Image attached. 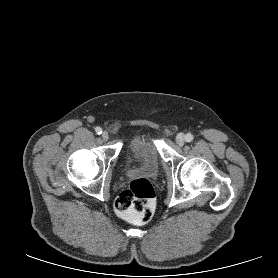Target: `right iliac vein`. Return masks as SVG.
Instances as JSON below:
<instances>
[{"instance_id": "63e3f726", "label": "right iliac vein", "mask_w": 278, "mask_h": 278, "mask_svg": "<svg viewBox=\"0 0 278 278\" xmlns=\"http://www.w3.org/2000/svg\"><path fill=\"white\" fill-rule=\"evenodd\" d=\"M102 139H103L104 141H107V140L109 139V134H108V132L104 131V132L102 133Z\"/></svg>"}]
</instances>
